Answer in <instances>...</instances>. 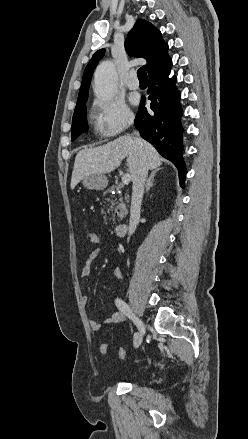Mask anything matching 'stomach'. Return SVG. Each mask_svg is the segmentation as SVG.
<instances>
[{
  "instance_id": "1",
  "label": "stomach",
  "mask_w": 248,
  "mask_h": 439,
  "mask_svg": "<svg viewBox=\"0 0 248 439\" xmlns=\"http://www.w3.org/2000/svg\"><path fill=\"white\" fill-rule=\"evenodd\" d=\"M84 187L93 190H103L108 185V178L104 174H92L83 179Z\"/></svg>"
}]
</instances>
